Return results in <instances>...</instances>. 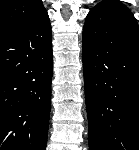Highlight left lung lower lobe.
Masks as SVG:
<instances>
[{"label":"left lung lower lobe","instance_id":"1","mask_svg":"<svg viewBox=\"0 0 139 150\" xmlns=\"http://www.w3.org/2000/svg\"><path fill=\"white\" fill-rule=\"evenodd\" d=\"M83 71L90 150H139V27L120 2L87 15Z\"/></svg>","mask_w":139,"mask_h":150}]
</instances>
